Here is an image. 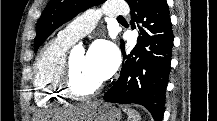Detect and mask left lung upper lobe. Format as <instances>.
I'll list each match as a JSON object with an SVG mask.
<instances>
[{
	"label": "left lung upper lobe",
	"mask_w": 217,
	"mask_h": 121,
	"mask_svg": "<svg viewBox=\"0 0 217 121\" xmlns=\"http://www.w3.org/2000/svg\"><path fill=\"white\" fill-rule=\"evenodd\" d=\"M103 2L105 0H50L37 23L34 51L63 23Z\"/></svg>",
	"instance_id": "obj_1"
}]
</instances>
